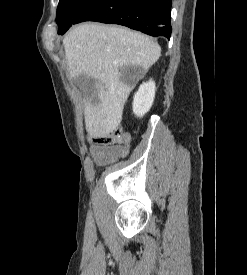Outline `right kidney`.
<instances>
[{
  "label": "right kidney",
  "instance_id": "1",
  "mask_svg": "<svg viewBox=\"0 0 247 275\" xmlns=\"http://www.w3.org/2000/svg\"><path fill=\"white\" fill-rule=\"evenodd\" d=\"M155 82L149 80L143 83L134 95L133 112L137 117H143L151 108L155 98Z\"/></svg>",
  "mask_w": 247,
  "mask_h": 275
}]
</instances>
